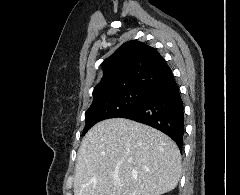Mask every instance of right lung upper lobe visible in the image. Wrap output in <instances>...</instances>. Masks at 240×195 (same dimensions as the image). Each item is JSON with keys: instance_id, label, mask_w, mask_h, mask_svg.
<instances>
[{"instance_id": "cb5924a9", "label": "right lung upper lobe", "mask_w": 240, "mask_h": 195, "mask_svg": "<svg viewBox=\"0 0 240 195\" xmlns=\"http://www.w3.org/2000/svg\"><path fill=\"white\" fill-rule=\"evenodd\" d=\"M102 68L103 78L93 91L94 99L126 90L147 92L173 76L155 48L135 40L120 46Z\"/></svg>"}]
</instances>
